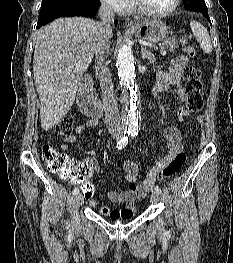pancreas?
<instances>
[{
    "label": "pancreas",
    "instance_id": "1",
    "mask_svg": "<svg viewBox=\"0 0 233 263\" xmlns=\"http://www.w3.org/2000/svg\"><path fill=\"white\" fill-rule=\"evenodd\" d=\"M159 47L162 50L165 48H169L170 52H175L176 49H178L179 44L174 38H172L164 40L162 43H160Z\"/></svg>",
    "mask_w": 233,
    "mask_h": 263
}]
</instances>
